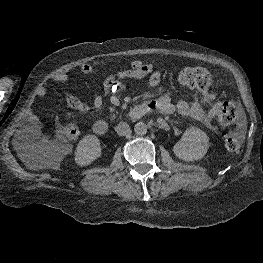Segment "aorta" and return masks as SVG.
<instances>
[{"label": "aorta", "mask_w": 263, "mask_h": 263, "mask_svg": "<svg viewBox=\"0 0 263 263\" xmlns=\"http://www.w3.org/2000/svg\"><path fill=\"white\" fill-rule=\"evenodd\" d=\"M148 126L143 122H138L134 126V131L137 135H145L147 133Z\"/></svg>", "instance_id": "762f6f07"}]
</instances>
